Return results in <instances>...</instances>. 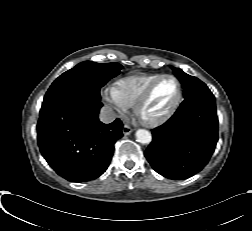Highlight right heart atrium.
Returning a JSON list of instances; mask_svg holds the SVG:
<instances>
[{"instance_id": "obj_1", "label": "right heart atrium", "mask_w": 252, "mask_h": 231, "mask_svg": "<svg viewBox=\"0 0 252 231\" xmlns=\"http://www.w3.org/2000/svg\"><path fill=\"white\" fill-rule=\"evenodd\" d=\"M104 99L112 105L114 110L119 115H122L127 111L128 107L118 98L114 88H111L105 92Z\"/></svg>"}]
</instances>
